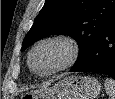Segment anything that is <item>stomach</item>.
<instances>
[{"instance_id":"obj_1","label":"stomach","mask_w":115,"mask_h":99,"mask_svg":"<svg viewBox=\"0 0 115 99\" xmlns=\"http://www.w3.org/2000/svg\"><path fill=\"white\" fill-rule=\"evenodd\" d=\"M101 91L100 82L90 76H69L51 87L27 92V99H95Z\"/></svg>"}]
</instances>
